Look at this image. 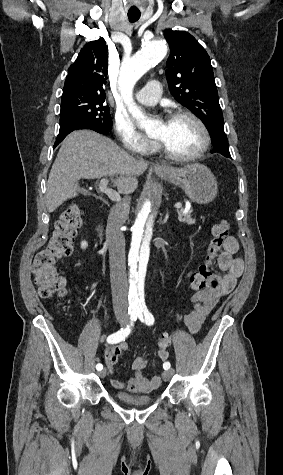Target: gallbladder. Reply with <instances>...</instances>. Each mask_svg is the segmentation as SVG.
Returning a JSON list of instances; mask_svg holds the SVG:
<instances>
[{
  "label": "gallbladder",
  "instance_id": "bac80fb5",
  "mask_svg": "<svg viewBox=\"0 0 283 475\" xmlns=\"http://www.w3.org/2000/svg\"><path fill=\"white\" fill-rule=\"evenodd\" d=\"M82 194H86V190H82Z\"/></svg>",
  "mask_w": 283,
  "mask_h": 475
}]
</instances>
